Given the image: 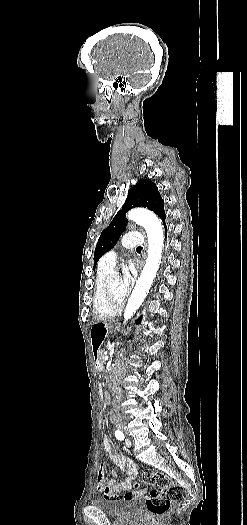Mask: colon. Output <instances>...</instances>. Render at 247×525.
Returning <instances> with one entry per match:
<instances>
[{"label": "colon", "instance_id": "colon-1", "mask_svg": "<svg viewBox=\"0 0 247 525\" xmlns=\"http://www.w3.org/2000/svg\"><path fill=\"white\" fill-rule=\"evenodd\" d=\"M96 424L98 426L97 430L102 432L107 421L105 418L100 417L97 419ZM140 475L144 484L156 487L146 498L149 515L152 518L157 520L167 518L171 503L182 501L186 498V491L182 487L174 486L165 473L146 469Z\"/></svg>", "mask_w": 247, "mask_h": 525}]
</instances>
